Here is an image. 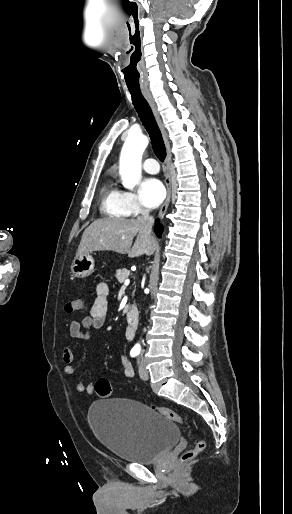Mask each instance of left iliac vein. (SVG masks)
I'll return each instance as SVG.
<instances>
[{"instance_id":"obj_1","label":"left iliac vein","mask_w":292,"mask_h":514,"mask_svg":"<svg viewBox=\"0 0 292 514\" xmlns=\"http://www.w3.org/2000/svg\"><path fill=\"white\" fill-rule=\"evenodd\" d=\"M139 375H140V378L143 380H148V378H149L148 370L146 369V367L144 366L143 363H141L139 366Z\"/></svg>"}]
</instances>
